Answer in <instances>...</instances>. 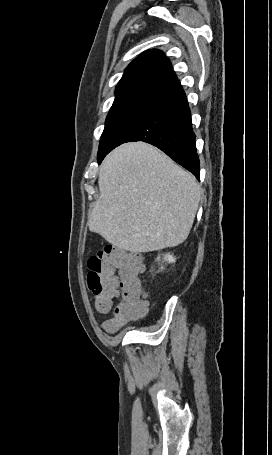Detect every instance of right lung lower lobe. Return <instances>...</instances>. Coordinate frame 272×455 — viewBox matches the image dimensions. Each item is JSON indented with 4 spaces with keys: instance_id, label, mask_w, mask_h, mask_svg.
I'll use <instances>...</instances> for the list:
<instances>
[{
    "instance_id": "98d812e1",
    "label": "right lung lower lobe",
    "mask_w": 272,
    "mask_h": 455,
    "mask_svg": "<svg viewBox=\"0 0 272 455\" xmlns=\"http://www.w3.org/2000/svg\"><path fill=\"white\" fill-rule=\"evenodd\" d=\"M130 141H144L158 147L199 179L200 164L195 147V134L192 131L191 112L185 94L166 103L130 128L98 160V163L112 149Z\"/></svg>"
}]
</instances>
